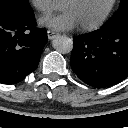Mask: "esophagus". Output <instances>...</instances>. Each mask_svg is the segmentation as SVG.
Segmentation results:
<instances>
[{
    "instance_id": "1",
    "label": "esophagus",
    "mask_w": 128,
    "mask_h": 128,
    "mask_svg": "<svg viewBox=\"0 0 128 128\" xmlns=\"http://www.w3.org/2000/svg\"><path fill=\"white\" fill-rule=\"evenodd\" d=\"M58 34L54 31H51V30H48L47 31V36H48V39L51 40L53 38H55Z\"/></svg>"
}]
</instances>
